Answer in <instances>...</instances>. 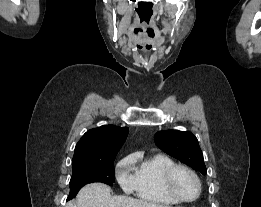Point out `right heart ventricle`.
I'll list each match as a JSON object with an SVG mask.
<instances>
[{
  "instance_id": "obj_1",
  "label": "right heart ventricle",
  "mask_w": 261,
  "mask_h": 207,
  "mask_svg": "<svg viewBox=\"0 0 261 207\" xmlns=\"http://www.w3.org/2000/svg\"><path fill=\"white\" fill-rule=\"evenodd\" d=\"M132 165L135 166L136 186L135 192L138 198L144 201L163 205H176L165 190L163 178L166 170L175 162L163 154H154L146 157L134 155Z\"/></svg>"
}]
</instances>
